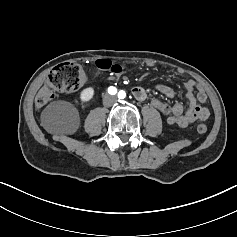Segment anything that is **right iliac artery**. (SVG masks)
<instances>
[{
  "mask_svg": "<svg viewBox=\"0 0 237 237\" xmlns=\"http://www.w3.org/2000/svg\"><path fill=\"white\" fill-rule=\"evenodd\" d=\"M108 93L111 94V95H114V94L117 93V89L115 87H113V86H110L108 88Z\"/></svg>",
  "mask_w": 237,
  "mask_h": 237,
  "instance_id": "right-iliac-artery-1",
  "label": "right iliac artery"
}]
</instances>
